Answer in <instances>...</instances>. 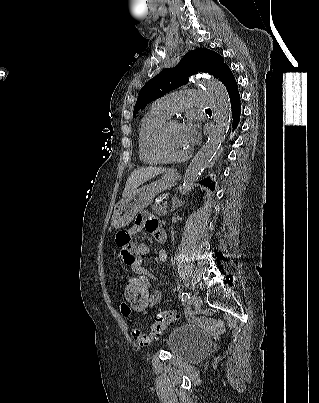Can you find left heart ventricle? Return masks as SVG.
<instances>
[{
  "mask_svg": "<svg viewBox=\"0 0 319 403\" xmlns=\"http://www.w3.org/2000/svg\"><path fill=\"white\" fill-rule=\"evenodd\" d=\"M164 146L169 155L176 157L182 156L189 150L183 139L180 124L173 125L167 130L164 137Z\"/></svg>",
  "mask_w": 319,
  "mask_h": 403,
  "instance_id": "left-heart-ventricle-1",
  "label": "left heart ventricle"
}]
</instances>
